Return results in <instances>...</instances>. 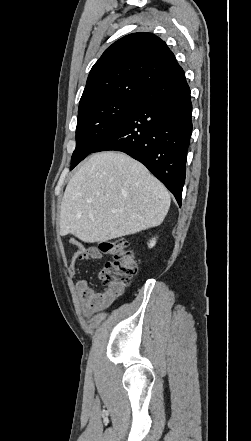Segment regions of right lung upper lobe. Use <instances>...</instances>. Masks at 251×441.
<instances>
[{"mask_svg": "<svg viewBox=\"0 0 251 441\" xmlns=\"http://www.w3.org/2000/svg\"><path fill=\"white\" fill-rule=\"evenodd\" d=\"M181 70L172 51L156 35H126L108 47L92 67L79 110L105 98L143 95Z\"/></svg>", "mask_w": 251, "mask_h": 441, "instance_id": "right-lung-upper-lobe-1", "label": "right lung upper lobe"}]
</instances>
